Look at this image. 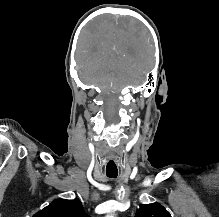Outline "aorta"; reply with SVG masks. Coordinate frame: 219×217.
Wrapping results in <instances>:
<instances>
[{"label":"aorta","mask_w":219,"mask_h":217,"mask_svg":"<svg viewBox=\"0 0 219 217\" xmlns=\"http://www.w3.org/2000/svg\"><path fill=\"white\" fill-rule=\"evenodd\" d=\"M107 217H114V215H113V214H111V215H108Z\"/></svg>","instance_id":"762f6f07"}]
</instances>
